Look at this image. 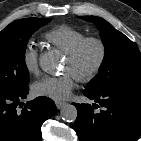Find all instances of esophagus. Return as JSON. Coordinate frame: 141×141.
I'll return each mask as SVG.
<instances>
[{"label": "esophagus", "instance_id": "1", "mask_svg": "<svg viewBox=\"0 0 141 141\" xmlns=\"http://www.w3.org/2000/svg\"><path fill=\"white\" fill-rule=\"evenodd\" d=\"M55 104L58 109H61L66 105V102L56 101Z\"/></svg>", "mask_w": 141, "mask_h": 141}]
</instances>
